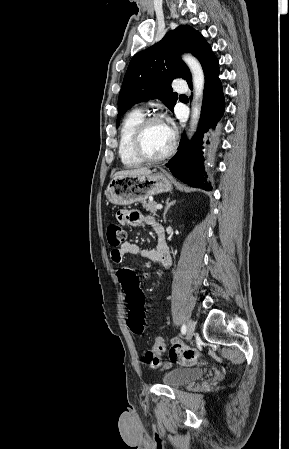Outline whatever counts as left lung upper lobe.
I'll return each instance as SVG.
<instances>
[{"mask_svg":"<svg viewBox=\"0 0 289 449\" xmlns=\"http://www.w3.org/2000/svg\"><path fill=\"white\" fill-rule=\"evenodd\" d=\"M194 54L200 63L211 52L203 36L185 25L168 32L164 38L150 48L137 53L128 66L118 98L119 120L134 104L149 99H161L173 109L177 93L171 87L175 78L191 81V73L179 54Z\"/></svg>","mask_w":289,"mask_h":449,"instance_id":"5c2ea615","label":"left lung upper lobe"}]
</instances>
